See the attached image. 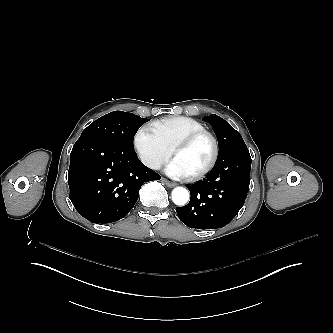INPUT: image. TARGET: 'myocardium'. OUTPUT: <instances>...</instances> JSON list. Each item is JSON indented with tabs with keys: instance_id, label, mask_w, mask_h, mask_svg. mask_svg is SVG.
I'll list each match as a JSON object with an SVG mask.
<instances>
[{
	"instance_id": "obj_1",
	"label": "myocardium",
	"mask_w": 333,
	"mask_h": 333,
	"mask_svg": "<svg viewBox=\"0 0 333 333\" xmlns=\"http://www.w3.org/2000/svg\"><path fill=\"white\" fill-rule=\"evenodd\" d=\"M202 137H208L210 139L213 146L212 155L209 161L202 168H200L197 172L186 178L187 181H195L200 179L214 167L219 157L218 140L211 132L207 130H201L185 136L184 138L179 140L171 149L170 156H173V154L176 153L177 151L191 146L193 143H195L197 140H199Z\"/></svg>"
}]
</instances>
